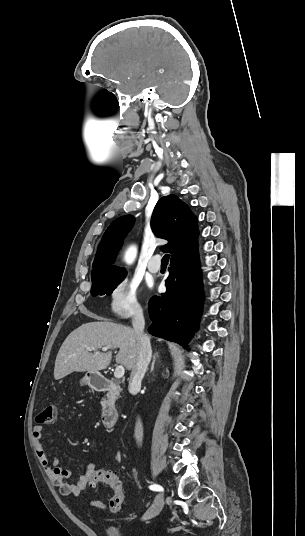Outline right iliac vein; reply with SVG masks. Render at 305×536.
I'll return each instance as SVG.
<instances>
[{"label":"right iliac vein","mask_w":305,"mask_h":536,"mask_svg":"<svg viewBox=\"0 0 305 536\" xmlns=\"http://www.w3.org/2000/svg\"><path fill=\"white\" fill-rule=\"evenodd\" d=\"M164 506V497L163 494L160 493L156 496L155 501L153 505L150 507V509L144 514L143 519L148 520L156 517L162 510Z\"/></svg>","instance_id":"63e3f726"}]
</instances>
